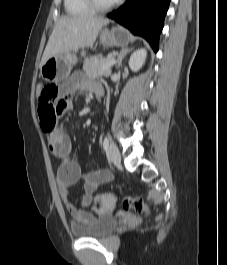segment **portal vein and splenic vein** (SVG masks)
Returning a JSON list of instances; mask_svg holds the SVG:
<instances>
[{
	"instance_id": "1",
	"label": "portal vein and splenic vein",
	"mask_w": 227,
	"mask_h": 265,
	"mask_svg": "<svg viewBox=\"0 0 227 265\" xmlns=\"http://www.w3.org/2000/svg\"><path fill=\"white\" fill-rule=\"evenodd\" d=\"M115 64V60L111 59L107 64H105L102 69H107Z\"/></svg>"
}]
</instances>
